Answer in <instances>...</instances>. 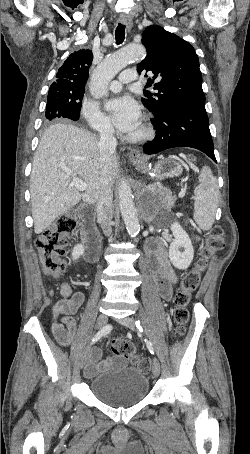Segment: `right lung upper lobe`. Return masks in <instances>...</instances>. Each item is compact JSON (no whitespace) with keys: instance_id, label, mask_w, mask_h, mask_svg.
Masks as SVG:
<instances>
[{"instance_id":"right-lung-upper-lobe-1","label":"right lung upper lobe","mask_w":250,"mask_h":454,"mask_svg":"<svg viewBox=\"0 0 250 454\" xmlns=\"http://www.w3.org/2000/svg\"><path fill=\"white\" fill-rule=\"evenodd\" d=\"M92 59V51L88 49L72 53L59 68L56 74L57 80L52 83L49 92L69 96L84 92Z\"/></svg>"}]
</instances>
